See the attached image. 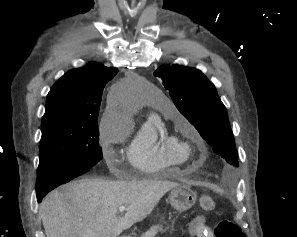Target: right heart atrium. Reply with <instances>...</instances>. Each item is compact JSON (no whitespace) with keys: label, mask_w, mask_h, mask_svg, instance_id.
<instances>
[{"label":"right heart atrium","mask_w":297,"mask_h":237,"mask_svg":"<svg viewBox=\"0 0 297 237\" xmlns=\"http://www.w3.org/2000/svg\"><path fill=\"white\" fill-rule=\"evenodd\" d=\"M121 135L117 116L110 110L106 111L100 124L101 145L109 162L113 161V150L110 147Z\"/></svg>","instance_id":"1"}]
</instances>
